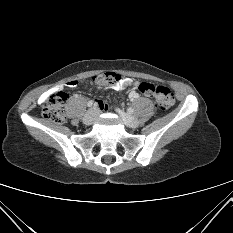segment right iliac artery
I'll return each instance as SVG.
<instances>
[{
    "mask_svg": "<svg viewBox=\"0 0 233 233\" xmlns=\"http://www.w3.org/2000/svg\"><path fill=\"white\" fill-rule=\"evenodd\" d=\"M93 104H94V101H93V100H90V101L87 103V106H88V107H91ZM94 105H95V104H94Z\"/></svg>",
    "mask_w": 233,
    "mask_h": 233,
    "instance_id": "1",
    "label": "right iliac artery"
}]
</instances>
